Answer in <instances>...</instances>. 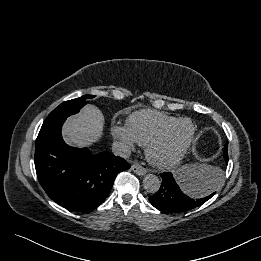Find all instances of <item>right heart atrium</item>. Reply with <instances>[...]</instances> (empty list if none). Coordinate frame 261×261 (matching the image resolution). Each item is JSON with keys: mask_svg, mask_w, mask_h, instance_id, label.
<instances>
[{"mask_svg": "<svg viewBox=\"0 0 261 261\" xmlns=\"http://www.w3.org/2000/svg\"><path fill=\"white\" fill-rule=\"evenodd\" d=\"M110 132L112 137L118 141L123 151L129 152L135 148L137 142L132 137L126 125L113 124Z\"/></svg>", "mask_w": 261, "mask_h": 261, "instance_id": "obj_1", "label": "right heart atrium"}]
</instances>
